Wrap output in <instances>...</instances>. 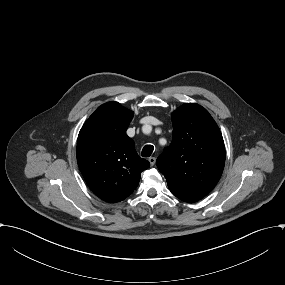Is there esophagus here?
<instances>
[{
  "mask_svg": "<svg viewBox=\"0 0 285 285\" xmlns=\"http://www.w3.org/2000/svg\"><path fill=\"white\" fill-rule=\"evenodd\" d=\"M148 161L150 162V165L153 166L156 162V158L155 157H149Z\"/></svg>",
  "mask_w": 285,
  "mask_h": 285,
  "instance_id": "esophagus-1",
  "label": "esophagus"
}]
</instances>
